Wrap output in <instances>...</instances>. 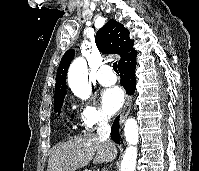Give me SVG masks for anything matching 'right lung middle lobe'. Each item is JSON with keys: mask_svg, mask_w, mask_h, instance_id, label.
<instances>
[{"mask_svg": "<svg viewBox=\"0 0 199 171\" xmlns=\"http://www.w3.org/2000/svg\"><path fill=\"white\" fill-rule=\"evenodd\" d=\"M63 100H64V99H61V100H58V101H55V102H54V109H55V112L60 113V110H61V107H62V104H63Z\"/></svg>", "mask_w": 199, "mask_h": 171, "instance_id": "dd1d6c3e", "label": "right lung middle lobe"}]
</instances>
